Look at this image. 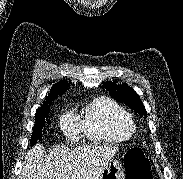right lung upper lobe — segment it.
Returning <instances> with one entry per match:
<instances>
[{
  "instance_id": "obj_1",
  "label": "right lung upper lobe",
  "mask_w": 183,
  "mask_h": 179,
  "mask_svg": "<svg viewBox=\"0 0 183 179\" xmlns=\"http://www.w3.org/2000/svg\"><path fill=\"white\" fill-rule=\"evenodd\" d=\"M67 88H68V82L65 80H62L53 85V87L50 90V93L48 94V96H46L45 101L43 102V105H41V107L51 105L52 101L55 100L58 95L61 96L62 94H64Z\"/></svg>"
}]
</instances>
